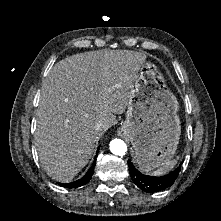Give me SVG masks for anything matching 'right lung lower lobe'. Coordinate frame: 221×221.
Returning <instances> with one entry per match:
<instances>
[{
	"mask_svg": "<svg viewBox=\"0 0 221 221\" xmlns=\"http://www.w3.org/2000/svg\"><path fill=\"white\" fill-rule=\"evenodd\" d=\"M97 155H98V151H97ZM95 162H96V159L94 160L91 168L88 170V172L85 174V176L82 177L81 179L71 182V183H66V184L59 183V184L63 187H67V188H76V187H81V186L87 184L90 181V179L92 178V175L94 173Z\"/></svg>",
	"mask_w": 221,
	"mask_h": 221,
	"instance_id": "98d812e1",
	"label": "right lung lower lobe"
}]
</instances>
